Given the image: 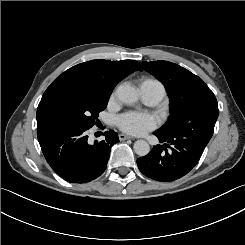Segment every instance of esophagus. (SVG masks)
I'll return each instance as SVG.
<instances>
[{"label": "esophagus", "mask_w": 245, "mask_h": 245, "mask_svg": "<svg viewBox=\"0 0 245 245\" xmlns=\"http://www.w3.org/2000/svg\"><path fill=\"white\" fill-rule=\"evenodd\" d=\"M131 138H132L131 136L126 135V134H119V139L121 141L128 140V139H131Z\"/></svg>", "instance_id": "1"}]
</instances>
